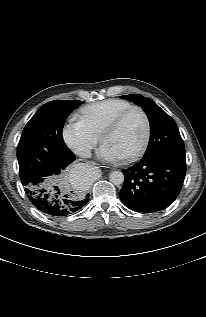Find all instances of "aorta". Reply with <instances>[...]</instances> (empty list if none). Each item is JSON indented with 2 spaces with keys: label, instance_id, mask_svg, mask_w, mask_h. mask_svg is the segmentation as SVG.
Instances as JSON below:
<instances>
[{
  "label": "aorta",
  "instance_id": "1",
  "mask_svg": "<svg viewBox=\"0 0 206 317\" xmlns=\"http://www.w3.org/2000/svg\"><path fill=\"white\" fill-rule=\"evenodd\" d=\"M90 168L85 167L83 170L84 176L90 171ZM111 183L114 185H121L124 182V175L121 171H113L109 175Z\"/></svg>",
  "mask_w": 206,
  "mask_h": 317
}]
</instances>
